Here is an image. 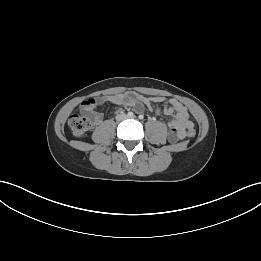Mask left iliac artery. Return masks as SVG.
Wrapping results in <instances>:
<instances>
[{"instance_id": "44dca946", "label": "left iliac artery", "mask_w": 261, "mask_h": 261, "mask_svg": "<svg viewBox=\"0 0 261 261\" xmlns=\"http://www.w3.org/2000/svg\"><path fill=\"white\" fill-rule=\"evenodd\" d=\"M144 117H143V115H139V119H143Z\"/></svg>"}]
</instances>
